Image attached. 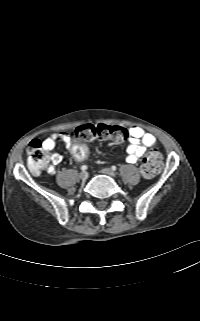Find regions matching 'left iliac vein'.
Wrapping results in <instances>:
<instances>
[{
  "label": "left iliac vein",
  "instance_id": "4c4485c4",
  "mask_svg": "<svg viewBox=\"0 0 200 321\" xmlns=\"http://www.w3.org/2000/svg\"><path fill=\"white\" fill-rule=\"evenodd\" d=\"M101 173H103L105 175H108V176H111V177H115V172L110 168H103L101 170Z\"/></svg>",
  "mask_w": 200,
  "mask_h": 321
}]
</instances>
